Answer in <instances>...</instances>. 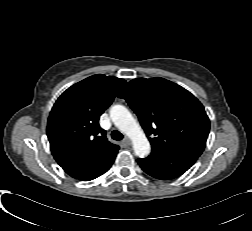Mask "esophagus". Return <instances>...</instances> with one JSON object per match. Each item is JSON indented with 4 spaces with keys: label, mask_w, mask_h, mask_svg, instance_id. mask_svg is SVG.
<instances>
[{
    "label": "esophagus",
    "mask_w": 252,
    "mask_h": 231,
    "mask_svg": "<svg viewBox=\"0 0 252 231\" xmlns=\"http://www.w3.org/2000/svg\"><path fill=\"white\" fill-rule=\"evenodd\" d=\"M123 143H124L125 145H127V146L131 145V140H130V138L126 136V137L123 139Z\"/></svg>",
    "instance_id": "1"
}]
</instances>
